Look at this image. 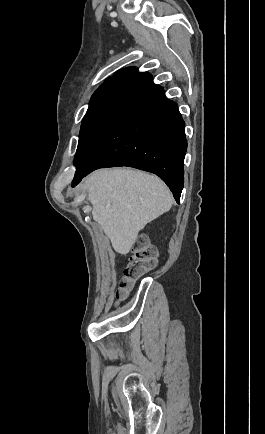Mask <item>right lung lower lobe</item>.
I'll use <instances>...</instances> for the list:
<instances>
[{"mask_svg": "<svg viewBox=\"0 0 265 434\" xmlns=\"http://www.w3.org/2000/svg\"><path fill=\"white\" fill-rule=\"evenodd\" d=\"M187 149L185 123L175 102L147 72L124 88L82 161L72 186L98 168L129 166L157 174L179 203Z\"/></svg>", "mask_w": 265, "mask_h": 434, "instance_id": "obj_1", "label": "right lung lower lobe"}]
</instances>
